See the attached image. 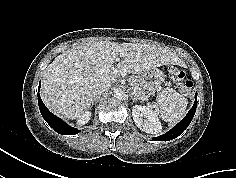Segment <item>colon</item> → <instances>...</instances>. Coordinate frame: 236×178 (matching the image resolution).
<instances>
[{"mask_svg":"<svg viewBox=\"0 0 236 178\" xmlns=\"http://www.w3.org/2000/svg\"><path fill=\"white\" fill-rule=\"evenodd\" d=\"M169 77L172 81L178 83L179 90L182 94H190L194 86V81L190 75L186 74L184 71L180 70L177 67H170Z\"/></svg>","mask_w":236,"mask_h":178,"instance_id":"obj_1","label":"colon"}]
</instances>
